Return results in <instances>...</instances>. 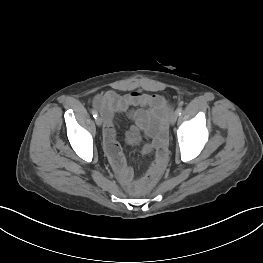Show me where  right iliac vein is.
<instances>
[{
    "label": "right iliac vein",
    "instance_id": "right-iliac-vein-1",
    "mask_svg": "<svg viewBox=\"0 0 263 263\" xmlns=\"http://www.w3.org/2000/svg\"><path fill=\"white\" fill-rule=\"evenodd\" d=\"M95 122H96V124H97L98 126H101L102 123H103V120H102L101 117L98 116V117L96 118Z\"/></svg>",
    "mask_w": 263,
    "mask_h": 263
}]
</instances>
